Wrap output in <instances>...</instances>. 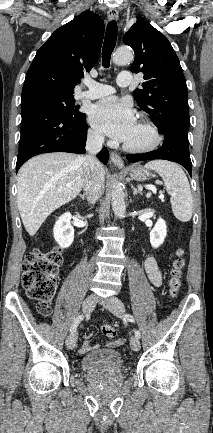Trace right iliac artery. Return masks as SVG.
I'll list each match as a JSON object with an SVG mask.
<instances>
[{"label": "right iliac artery", "instance_id": "right-iliac-artery-1", "mask_svg": "<svg viewBox=\"0 0 213 433\" xmlns=\"http://www.w3.org/2000/svg\"><path fill=\"white\" fill-rule=\"evenodd\" d=\"M84 317H85L84 315H79L76 317V319L74 320V322L70 328L71 334L75 333L79 323L84 319Z\"/></svg>", "mask_w": 213, "mask_h": 433}]
</instances>
